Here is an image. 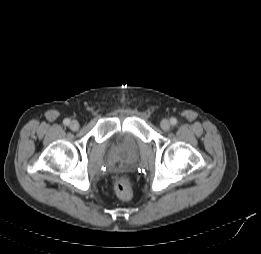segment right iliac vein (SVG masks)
I'll list each match as a JSON object with an SVG mask.
<instances>
[{
	"label": "right iliac vein",
	"mask_w": 261,
	"mask_h": 254,
	"mask_svg": "<svg viewBox=\"0 0 261 254\" xmlns=\"http://www.w3.org/2000/svg\"><path fill=\"white\" fill-rule=\"evenodd\" d=\"M70 128L72 130H77L79 128V122L77 120H72L70 122Z\"/></svg>",
	"instance_id": "63e3f726"
}]
</instances>
